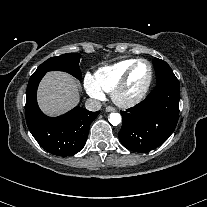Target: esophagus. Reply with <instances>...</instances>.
<instances>
[{"label":"esophagus","instance_id":"34e87169","mask_svg":"<svg viewBox=\"0 0 207 207\" xmlns=\"http://www.w3.org/2000/svg\"><path fill=\"white\" fill-rule=\"evenodd\" d=\"M106 112H112V111H114L115 109L113 108V107H110V106H108V107H106Z\"/></svg>","mask_w":207,"mask_h":207}]
</instances>
